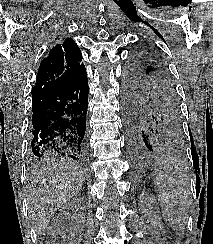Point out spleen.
Listing matches in <instances>:
<instances>
[{"label": "spleen", "mask_w": 213, "mask_h": 244, "mask_svg": "<svg viewBox=\"0 0 213 244\" xmlns=\"http://www.w3.org/2000/svg\"><path fill=\"white\" fill-rule=\"evenodd\" d=\"M153 176L164 220L174 230L183 229L191 195L187 175L173 160L160 158L156 162Z\"/></svg>", "instance_id": "obj_1"}]
</instances>
